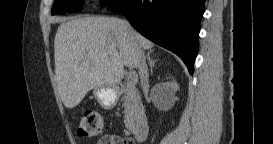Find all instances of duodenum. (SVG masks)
Wrapping results in <instances>:
<instances>
[{"label":"duodenum","mask_w":273,"mask_h":144,"mask_svg":"<svg viewBox=\"0 0 273 144\" xmlns=\"http://www.w3.org/2000/svg\"><path fill=\"white\" fill-rule=\"evenodd\" d=\"M134 138L138 142H143L147 139L149 134V123L145 116L139 117L132 127Z\"/></svg>","instance_id":"1"}]
</instances>
